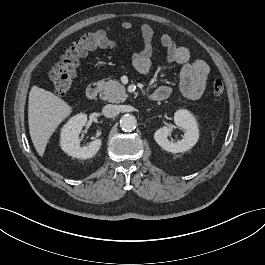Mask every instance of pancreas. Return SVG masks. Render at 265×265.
Segmentation results:
<instances>
[{
    "instance_id": "1",
    "label": "pancreas",
    "mask_w": 265,
    "mask_h": 265,
    "mask_svg": "<svg viewBox=\"0 0 265 265\" xmlns=\"http://www.w3.org/2000/svg\"><path fill=\"white\" fill-rule=\"evenodd\" d=\"M101 88V99L108 102L120 103L124 102L128 95L126 94L125 87L116 80H101L97 83Z\"/></svg>"
}]
</instances>
